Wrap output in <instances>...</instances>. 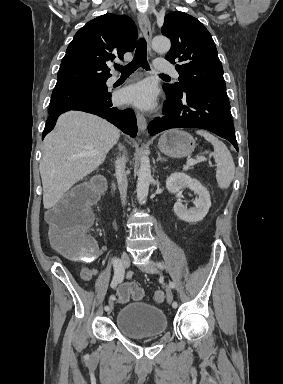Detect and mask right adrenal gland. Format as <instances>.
<instances>
[{
  "instance_id": "obj_1",
  "label": "right adrenal gland",
  "mask_w": 283,
  "mask_h": 384,
  "mask_svg": "<svg viewBox=\"0 0 283 384\" xmlns=\"http://www.w3.org/2000/svg\"><path fill=\"white\" fill-rule=\"evenodd\" d=\"M118 148H119V152H123V154H125V156H127V152L126 150H124L123 146H121V144H118Z\"/></svg>"
}]
</instances>
